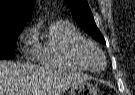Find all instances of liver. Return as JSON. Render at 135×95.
<instances>
[{"label": "liver", "mask_w": 135, "mask_h": 95, "mask_svg": "<svg viewBox=\"0 0 135 95\" xmlns=\"http://www.w3.org/2000/svg\"><path fill=\"white\" fill-rule=\"evenodd\" d=\"M87 79L74 72L0 61V95H60Z\"/></svg>", "instance_id": "obj_1"}]
</instances>
